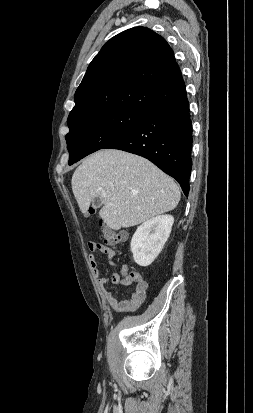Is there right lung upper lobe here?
Instances as JSON below:
<instances>
[{"mask_svg":"<svg viewBox=\"0 0 253 413\" xmlns=\"http://www.w3.org/2000/svg\"><path fill=\"white\" fill-rule=\"evenodd\" d=\"M185 92L166 40L146 27H134L114 36L94 57L67 123L116 109L146 113Z\"/></svg>","mask_w":253,"mask_h":413,"instance_id":"right-lung-upper-lobe-1","label":"right lung upper lobe"}]
</instances>
